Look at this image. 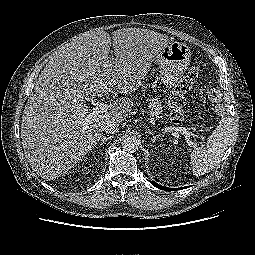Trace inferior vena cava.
I'll return each instance as SVG.
<instances>
[{"mask_svg":"<svg viewBox=\"0 0 255 255\" xmlns=\"http://www.w3.org/2000/svg\"><path fill=\"white\" fill-rule=\"evenodd\" d=\"M119 130V124L116 121H107L104 125V131L108 134L117 133Z\"/></svg>","mask_w":255,"mask_h":255,"instance_id":"obj_1","label":"inferior vena cava"}]
</instances>
